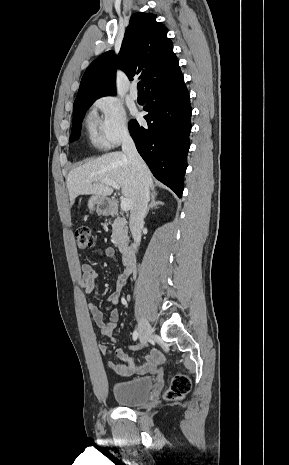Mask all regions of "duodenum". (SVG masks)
<instances>
[{
    "mask_svg": "<svg viewBox=\"0 0 289 465\" xmlns=\"http://www.w3.org/2000/svg\"><path fill=\"white\" fill-rule=\"evenodd\" d=\"M117 207V202L113 201L111 204V211H114ZM124 263L128 266L134 264L137 258V247L135 245H129L123 252Z\"/></svg>",
    "mask_w": 289,
    "mask_h": 465,
    "instance_id": "obj_1",
    "label": "duodenum"
}]
</instances>
